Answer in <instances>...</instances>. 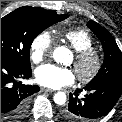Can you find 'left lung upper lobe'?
<instances>
[{
    "mask_svg": "<svg viewBox=\"0 0 122 122\" xmlns=\"http://www.w3.org/2000/svg\"><path fill=\"white\" fill-rule=\"evenodd\" d=\"M87 26L95 33L104 49V62L97 75L87 84L122 83V53L110 32L94 21Z\"/></svg>",
    "mask_w": 122,
    "mask_h": 122,
    "instance_id": "5c2ea615",
    "label": "left lung upper lobe"
}]
</instances>
